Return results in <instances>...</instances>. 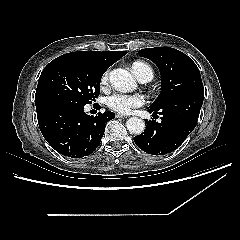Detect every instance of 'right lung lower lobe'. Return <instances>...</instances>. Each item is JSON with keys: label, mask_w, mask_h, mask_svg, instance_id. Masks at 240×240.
Returning a JSON list of instances; mask_svg holds the SVG:
<instances>
[{"label": "right lung lower lobe", "mask_w": 240, "mask_h": 240, "mask_svg": "<svg viewBox=\"0 0 240 240\" xmlns=\"http://www.w3.org/2000/svg\"><path fill=\"white\" fill-rule=\"evenodd\" d=\"M84 106L57 100L36 106L39 128L46 141L60 154L79 158L90 155L100 144L112 112L89 116Z\"/></svg>", "instance_id": "98d812e1"}]
</instances>
